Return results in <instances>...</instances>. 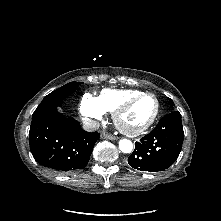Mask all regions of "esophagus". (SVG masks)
Masks as SVG:
<instances>
[{"mask_svg":"<svg viewBox=\"0 0 221 221\" xmlns=\"http://www.w3.org/2000/svg\"><path fill=\"white\" fill-rule=\"evenodd\" d=\"M101 138L103 139H108V140H116L117 138L111 134H108V133H101Z\"/></svg>","mask_w":221,"mask_h":221,"instance_id":"esophagus-1","label":"esophagus"}]
</instances>
